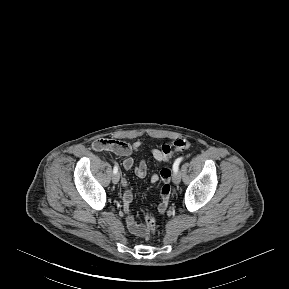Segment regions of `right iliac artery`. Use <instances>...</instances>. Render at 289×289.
<instances>
[{
	"instance_id": "1",
	"label": "right iliac artery",
	"mask_w": 289,
	"mask_h": 289,
	"mask_svg": "<svg viewBox=\"0 0 289 289\" xmlns=\"http://www.w3.org/2000/svg\"><path fill=\"white\" fill-rule=\"evenodd\" d=\"M118 172V165H115L113 168V173L116 174Z\"/></svg>"
}]
</instances>
